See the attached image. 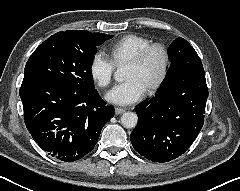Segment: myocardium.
I'll return each mask as SVG.
<instances>
[{"mask_svg":"<svg viewBox=\"0 0 240 191\" xmlns=\"http://www.w3.org/2000/svg\"><path fill=\"white\" fill-rule=\"evenodd\" d=\"M156 50L160 51L162 54L163 58L162 71L159 78L148 87L147 89L148 93H154L157 90H159L163 86L168 77L171 64L170 53L168 48L162 43H151L150 45L143 48L135 56H133L131 59L127 61V63L132 65H140L148 58V56L153 51Z\"/></svg>","mask_w":240,"mask_h":191,"instance_id":"f54148a6","label":"myocardium"}]
</instances>
